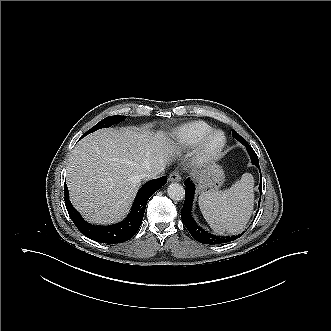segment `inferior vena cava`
Returning a JSON list of instances; mask_svg holds the SVG:
<instances>
[{"instance_id":"1","label":"inferior vena cava","mask_w":331,"mask_h":331,"mask_svg":"<svg viewBox=\"0 0 331 331\" xmlns=\"http://www.w3.org/2000/svg\"><path fill=\"white\" fill-rule=\"evenodd\" d=\"M164 171V167H158L156 169H151L148 170L146 172H144L141 177L143 180H152V179H156L159 178L160 175L163 173Z\"/></svg>"}]
</instances>
